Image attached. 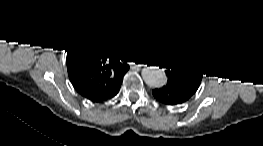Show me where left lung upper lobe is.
I'll list each match as a JSON object with an SVG mask.
<instances>
[{
	"label": "left lung upper lobe",
	"mask_w": 263,
	"mask_h": 146,
	"mask_svg": "<svg viewBox=\"0 0 263 146\" xmlns=\"http://www.w3.org/2000/svg\"><path fill=\"white\" fill-rule=\"evenodd\" d=\"M149 56L166 68L167 79L175 81L190 94L197 91L204 65L195 50L179 35L158 36L150 45Z\"/></svg>",
	"instance_id": "obj_1"
}]
</instances>
